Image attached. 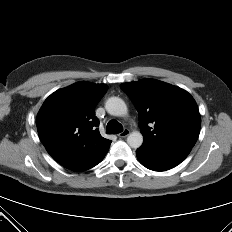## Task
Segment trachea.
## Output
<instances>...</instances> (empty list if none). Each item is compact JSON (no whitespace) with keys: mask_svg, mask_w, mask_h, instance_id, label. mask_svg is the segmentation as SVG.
Masks as SVG:
<instances>
[{"mask_svg":"<svg viewBox=\"0 0 232 232\" xmlns=\"http://www.w3.org/2000/svg\"><path fill=\"white\" fill-rule=\"evenodd\" d=\"M123 131V126L116 120H110L106 127L107 134H117Z\"/></svg>","mask_w":232,"mask_h":232,"instance_id":"1","label":"trachea"}]
</instances>
